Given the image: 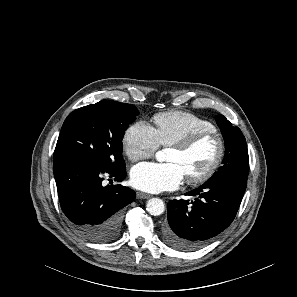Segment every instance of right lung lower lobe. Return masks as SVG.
<instances>
[{
    "instance_id": "1",
    "label": "right lung lower lobe",
    "mask_w": 297,
    "mask_h": 297,
    "mask_svg": "<svg viewBox=\"0 0 297 297\" xmlns=\"http://www.w3.org/2000/svg\"><path fill=\"white\" fill-rule=\"evenodd\" d=\"M54 177L62 211L78 234L95 243L116 239L122 224L123 207L135 199V192L118 185L102 186L103 175L120 182L125 169L106 171L75 159L54 161Z\"/></svg>"
}]
</instances>
